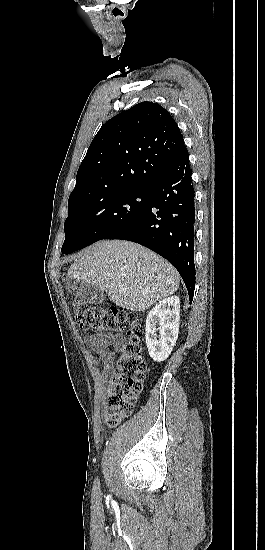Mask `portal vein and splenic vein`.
I'll list each match as a JSON object with an SVG mask.
<instances>
[{
  "mask_svg": "<svg viewBox=\"0 0 265 550\" xmlns=\"http://www.w3.org/2000/svg\"><path fill=\"white\" fill-rule=\"evenodd\" d=\"M119 287L123 288V286H122V285H119Z\"/></svg>",
  "mask_w": 265,
  "mask_h": 550,
  "instance_id": "1",
  "label": "portal vein and splenic vein"
}]
</instances>
